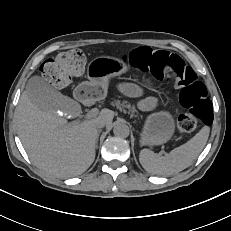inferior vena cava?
I'll return each mask as SVG.
<instances>
[{"mask_svg": "<svg viewBox=\"0 0 231 231\" xmlns=\"http://www.w3.org/2000/svg\"><path fill=\"white\" fill-rule=\"evenodd\" d=\"M105 126V123L104 122H98L97 124H96V127L97 128H103Z\"/></svg>", "mask_w": 231, "mask_h": 231, "instance_id": "obj_1", "label": "inferior vena cava"}]
</instances>
